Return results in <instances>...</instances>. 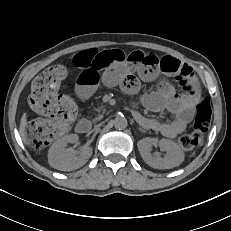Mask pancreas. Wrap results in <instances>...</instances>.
<instances>
[{"instance_id":"1","label":"pancreas","mask_w":231,"mask_h":231,"mask_svg":"<svg viewBox=\"0 0 231 231\" xmlns=\"http://www.w3.org/2000/svg\"><path fill=\"white\" fill-rule=\"evenodd\" d=\"M102 117H103V115L100 114V115L97 117V119H101Z\"/></svg>"}]
</instances>
